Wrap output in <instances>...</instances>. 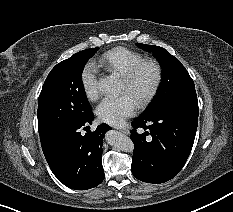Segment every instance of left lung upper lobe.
<instances>
[{
  "label": "left lung upper lobe",
  "mask_w": 233,
  "mask_h": 212,
  "mask_svg": "<svg viewBox=\"0 0 233 212\" xmlns=\"http://www.w3.org/2000/svg\"><path fill=\"white\" fill-rule=\"evenodd\" d=\"M146 51L152 52L162 65V82L156 96L144 112L169 104L198 106L195 86L185 67L166 49L136 43Z\"/></svg>",
  "instance_id": "5c2ea615"
}]
</instances>
